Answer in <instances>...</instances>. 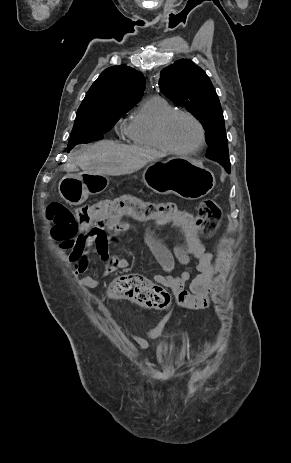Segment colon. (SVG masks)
I'll list each match as a JSON object with an SVG mask.
<instances>
[{
  "label": "colon",
  "mask_w": 291,
  "mask_h": 463,
  "mask_svg": "<svg viewBox=\"0 0 291 463\" xmlns=\"http://www.w3.org/2000/svg\"><path fill=\"white\" fill-rule=\"evenodd\" d=\"M156 226H177L181 231L209 234L219 223L221 211L213 200H205L198 212L179 209L175 200L166 203L142 201L134 197L103 200L93 205L70 209L58 202L46 208V218L52 222L51 235L64 249H71L82 232L101 228L106 217H132ZM112 299L130 298L149 308L167 310L171 307L170 295L159 285L139 275H121L109 287Z\"/></svg>",
  "instance_id": "obj_1"
}]
</instances>
